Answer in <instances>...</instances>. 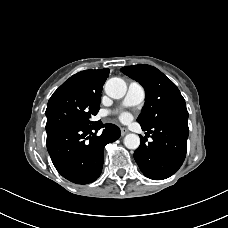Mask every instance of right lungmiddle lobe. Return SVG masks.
Segmentation results:
<instances>
[{
  "label": "right lung middle lobe",
  "mask_w": 228,
  "mask_h": 228,
  "mask_svg": "<svg viewBox=\"0 0 228 228\" xmlns=\"http://www.w3.org/2000/svg\"><path fill=\"white\" fill-rule=\"evenodd\" d=\"M101 95L80 91L70 83H63L51 96L46 109V132L67 125L94 124L91 120L100 109Z\"/></svg>",
  "instance_id": "1"
}]
</instances>
